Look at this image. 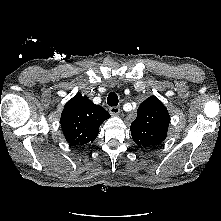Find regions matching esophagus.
<instances>
[{
  "mask_svg": "<svg viewBox=\"0 0 221 221\" xmlns=\"http://www.w3.org/2000/svg\"><path fill=\"white\" fill-rule=\"evenodd\" d=\"M109 111L112 115H119L120 114V108L119 107H110Z\"/></svg>",
  "mask_w": 221,
  "mask_h": 221,
  "instance_id": "obj_1",
  "label": "esophagus"
}]
</instances>
